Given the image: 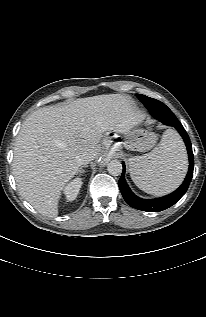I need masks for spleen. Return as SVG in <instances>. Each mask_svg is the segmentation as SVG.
<instances>
[{"label": "spleen", "instance_id": "spleen-1", "mask_svg": "<svg viewBox=\"0 0 206 317\" xmlns=\"http://www.w3.org/2000/svg\"><path fill=\"white\" fill-rule=\"evenodd\" d=\"M130 176L148 194L164 195L176 189L187 170L186 150L180 136L167 130L158 145L143 156L129 160Z\"/></svg>", "mask_w": 206, "mask_h": 317}]
</instances>
